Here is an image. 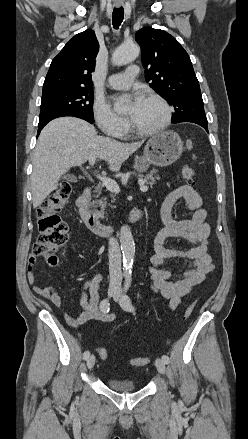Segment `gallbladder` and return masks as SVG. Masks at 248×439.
I'll return each instance as SVG.
<instances>
[{"mask_svg":"<svg viewBox=\"0 0 248 439\" xmlns=\"http://www.w3.org/2000/svg\"><path fill=\"white\" fill-rule=\"evenodd\" d=\"M65 178L67 179V180H69V181H73V182H75L77 179H76V177L74 176V175H67V176H65Z\"/></svg>","mask_w":248,"mask_h":439,"instance_id":"obj_1","label":"gallbladder"}]
</instances>
